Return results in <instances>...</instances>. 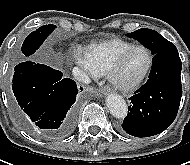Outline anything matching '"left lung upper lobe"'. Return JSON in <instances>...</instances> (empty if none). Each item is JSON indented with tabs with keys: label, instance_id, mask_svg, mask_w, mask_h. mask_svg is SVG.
<instances>
[{
	"label": "left lung upper lobe",
	"instance_id": "5c2ea615",
	"mask_svg": "<svg viewBox=\"0 0 190 165\" xmlns=\"http://www.w3.org/2000/svg\"><path fill=\"white\" fill-rule=\"evenodd\" d=\"M126 35L141 42L146 48L151 50L153 55L163 49L173 46L170 41L151 29L142 28Z\"/></svg>",
	"mask_w": 190,
	"mask_h": 165
}]
</instances>
